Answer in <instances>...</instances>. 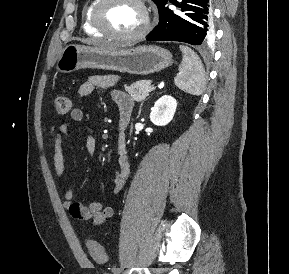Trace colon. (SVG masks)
Here are the masks:
<instances>
[{
    "label": "colon",
    "instance_id": "5ec220e1",
    "mask_svg": "<svg viewBox=\"0 0 289 274\" xmlns=\"http://www.w3.org/2000/svg\"><path fill=\"white\" fill-rule=\"evenodd\" d=\"M53 107L57 115L64 116L69 113L72 107L70 97L66 95H58L53 99ZM87 248L92 258L97 263H104L107 260V255L104 248L96 241L89 240Z\"/></svg>",
    "mask_w": 289,
    "mask_h": 274
}]
</instances>
